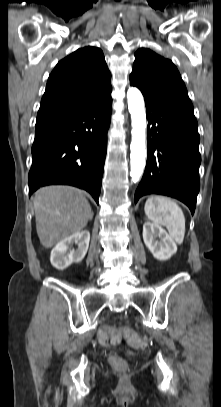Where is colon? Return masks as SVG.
Masks as SVG:
<instances>
[{"mask_svg":"<svg viewBox=\"0 0 221 407\" xmlns=\"http://www.w3.org/2000/svg\"><path fill=\"white\" fill-rule=\"evenodd\" d=\"M121 338H125L134 348L142 350L147 348L146 339L126 326L120 328L104 327L98 333V340L103 346L116 343L120 341ZM109 361L111 366L116 370H124L126 368L125 361L117 355L110 356Z\"/></svg>","mask_w":221,"mask_h":407,"instance_id":"obj_1","label":"colon"}]
</instances>
